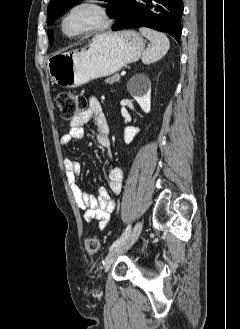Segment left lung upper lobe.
Here are the masks:
<instances>
[{
	"label": "left lung upper lobe",
	"mask_w": 240,
	"mask_h": 329,
	"mask_svg": "<svg viewBox=\"0 0 240 329\" xmlns=\"http://www.w3.org/2000/svg\"><path fill=\"white\" fill-rule=\"evenodd\" d=\"M81 0H51L47 7V24H52L61 14L65 13L68 9L73 7ZM112 4L111 8L107 9V14L118 18L124 7L126 0H104ZM49 40L53 42V31L48 30Z\"/></svg>",
	"instance_id": "1"
}]
</instances>
